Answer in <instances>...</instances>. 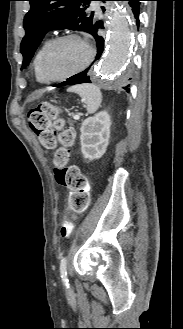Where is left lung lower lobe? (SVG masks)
<instances>
[{"label": "left lung lower lobe", "instance_id": "1", "mask_svg": "<svg viewBox=\"0 0 183 329\" xmlns=\"http://www.w3.org/2000/svg\"><path fill=\"white\" fill-rule=\"evenodd\" d=\"M105 1H113V0H105ZM123 1L129 2L130 6L132 7V11L134 13L135 19H136V23L139 26V4H140V1H142V0H123ZM101 9H102V12L105 13V11H106L105 7L102 6ZM99 28H103V22L98 20L97 17H95V22L93 24L92 29L89 32L96 41L97 54H96L95 60H98L104 51V38L98 34ZM88 70H89V68L68 78L66 81H64L56 86L59 87V86H64V85L91 83L89 76H88ZM123 89L126 90L127 92H129V85H127L126 87H123Z\"/></svg>", "mask_w": 183, "mask_h": 329}]
</instances>
